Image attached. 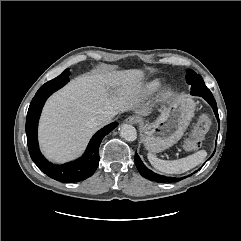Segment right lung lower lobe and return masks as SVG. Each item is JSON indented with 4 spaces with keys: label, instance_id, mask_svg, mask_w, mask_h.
<instances>
[{
    "label": "right lung lower lobe",
    "instance_id": "98d812e1",
    "mask_svg": "<svg viewBox=\"0 0 241 241\" xmlns=\"http://www.w3.org/2000/svg\"><path fill=\"white\" fill-rule=\"evenodd\" d=\"M52 93L35 95L30 103L26 119V135L30 156L37 167L49 177L60 182H79L93 175L99 165V146L104 136L118 126L113 122L99 130L91 139L84 155L63 165H53L39 151L37 139L38 120L42 107Z\"/></svg>",
    "mask_w": 241,
    "mask_h": 241
}]
</instances>
